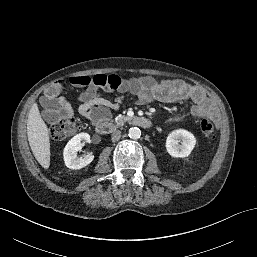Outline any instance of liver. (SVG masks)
I'll list each match as a JSON object with an SVG mask.
<instances>
[{
    "label": "liver",
    "instance_id": "1",
    "mask_svg": "<svg viewBox=\"0 0 257 257\" xmlns=\"http://www.w3.org/2000/svg\"><path fill=\"white\" fill-rule=\"evenodd\" d=\"M27 136L36 160L43 168L48 169L51 155L49 129L40 115L37 103H34L29 111Z\"/></svg>",
    "mask_w": 257,
    "mask_h": 257
}]
</instances>
